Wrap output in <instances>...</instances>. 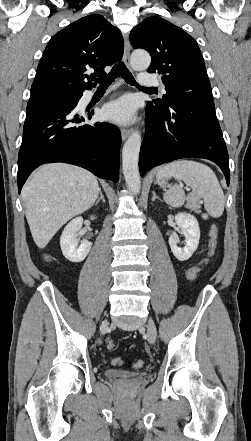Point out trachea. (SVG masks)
Returning <instances> with one entry per match:
<instances>
[{
  "mask_svg": "<svg viewBox=\"0 0 251 441\" xmlns=\"http://www.w3.org/2000/svg\"><path fill=\"white\" fill-rule=\"evenodd\" d=\"M119 74L128 84L138 86L132 73L127 69L125 64L121 62L114 65L111 72L108 75L98 79L99 88L108 87L119 76ZM146 89L154 90V88H146Z\"/></svg>",
  "mask_w": 251,
  "mask_h": 441,
  "instance_id": "1",
  "label": "trachea"
}]
</instances>
